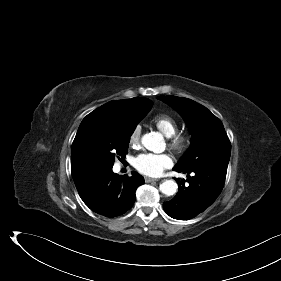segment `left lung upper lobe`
Segmentation results:
<instances>
[{"label": "left lung upper lobe", "instance_id": "left-lung-upper-lobe-1", "mask_svg": "<svg viewBox=\"0 0 281 281\" xmlns=\"http://www.w3.org/2000/svg\"><path fill=\"white\" fill-rule=\"evenodd\" d=\"M186 121L192 134L191 146L175 166L193 169L202 165L228 166L231 144L222 122L204 106L187 98L159 96Z\"/></svg>", "mask_w": 281, "mask_h": 281}]
</instances>
